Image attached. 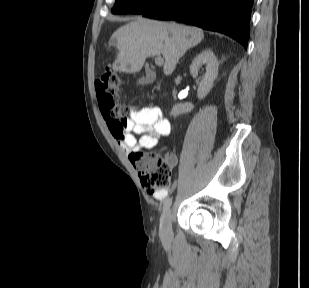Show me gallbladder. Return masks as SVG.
I'll use <instances>...</instances> for the list:
<instances>
[{"label":"gallbladder","instance_id":"bac80fb5","mask_svg":"<svg viewBox=\"0 0 309 288\" xmlns=\"http://www.w3.org/2000/svg\"><path fill=\"white\" fill-rule=\"evenodd\" d=\"M156 78V75L153 71L147 69L146 70V76L145 77H141L139 80H138V84H141V85H145V84H150L152 83Z\"/></svg>","mask_w":309,"mask_h":288}]
</instances>
